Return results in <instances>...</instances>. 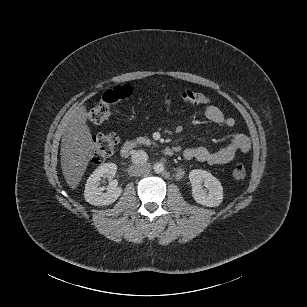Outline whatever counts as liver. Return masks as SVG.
Wrapping results in <instances>:
<instances>
[{"mask_svg":"<svg viewBox=\"0 0 307 307\" xmlns=\"http://www.w3.org/2000/svg\"><path fill=\"white\" fill-rule=\"evenodd\" d=\"M89 113L86 105L75 108L61 121V169L68 187L76 190L94 155L95 143L88 126Z\"/></svg>","mask_w":307,"mask_h":307,"instance_id":"6515ba94","label":"liver"}]
</instances>
